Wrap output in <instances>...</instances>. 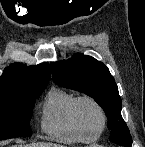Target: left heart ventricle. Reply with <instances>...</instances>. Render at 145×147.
Here are the masks:
<instances>
[{
	"label": "left heart ventricle",
	"instance_id": "b2bd125f",
	"mask_svg": "<svg viewBox=\"0 0 145 147\" xmlns=\"http://www.w3.org/2000/svg\"><path fill=\"white\" fill-rule=\"evenodd\" d=\"M80 114L88 133L96 134L101 127V118L96 108L90 103H84L80 108Z\"/></svg>",
	"mask_w": 145,
	"mask_h": 147
}]
</instances>
